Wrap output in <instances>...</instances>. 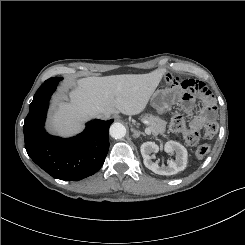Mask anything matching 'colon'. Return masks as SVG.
<instances>
[{"instance_id":"obj_1","label":"colon","mask_w":245,"mask_h":245,"mask_svg":"<svg viewBox=\"0 0 245 245\" xmlns=\"http://www.w3.org/2000/svg\"><path fill=\"white\" fill-rule=\"evenodd\" d=\"M171 128L175 132H180L183 134L185 141L189 145H196L200 140V133L197 130L188 128L184 119L180 116H175L171 120ZM218 131V124L210 120L206 123L204 127V134L206 137H213ZM210 151L208 145H200L196 149V156L198 158H204Z\"/></svg>"}]
</instances>
